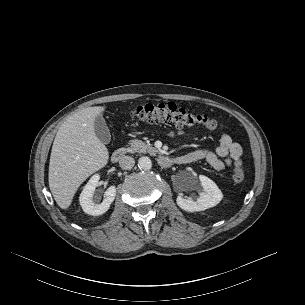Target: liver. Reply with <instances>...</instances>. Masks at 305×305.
I'll return each instance as SVG.
<instances>
[{
    "label": "liver",
    "mask_w": 305,
    "mask_h": 305,
    "mask_svg": "<svg viewBox=\"0 0 305 305\" xmlns=\"http://www.w3.org/2000/svg\"><path fill=\"white\" fill-rule=\"evenodd\" d=\"M104 106L85 108L70 116L59 128L51 150L49 188L62 209H67L78 187L109 159L105 145L94 129Z\"/></svg>",
    "instance_id": "1"
}]
</instances>
